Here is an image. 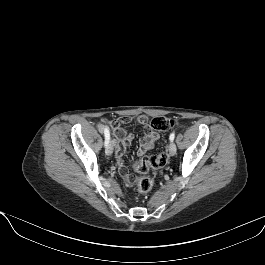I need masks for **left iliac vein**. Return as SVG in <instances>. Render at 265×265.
<instances>
[{"instance_id": "1", "label": "left iliac vein", "mask_w": 265, "mask_h": 265, "mask_svg": "<svg viewBox=\"0 0 265 265\" xmlns=\"http://www.w3.org/2000/svg\"><path fill=\"white\" fill-rule=\"evenodd\" d=\"M169 153L172 156L176 154V145L173 142L169 144Z\"/></svg>"}]
</instances>
